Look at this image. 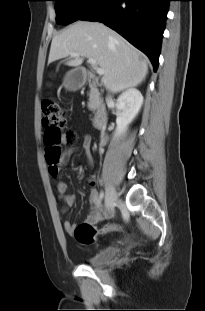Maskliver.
Wrapping results in <instances>:
<instances>
[{
  "instance_id": "6515ba94",
  "label": "liver",
  "mask_w": 205,
  "mask_h": 311,
  "mask_svg": "<svg viewBox=\"0 0 205 311\" xmlns=\"http://www.w3.org/2000/svg\"><path fill=\"white\" fill-rule=\"evenodd\" d=\"M71 53H78L72 57ZM71 56L70 67L93 58L104 70L102 83L112 93L136 87L148 73L147 59L117 32L99 22L77 21L56 35L48 63Z\"/></svg>"
}]
</instances>
